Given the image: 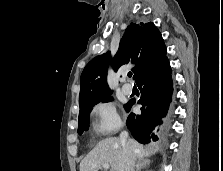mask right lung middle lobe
Segmentation results:
<instances>
[{"mask_svg":"<svg viewBox=\"0 0 223 171\" xmlns=\"http://www.w3.org/2000/svg\"><path fill=\"white\" fill-rule=\"evenodd\" d=\"M112 98L107 96L103 99H100L94 103H91V104H88V105H85L83 107L80 108V111H79V125H78V134L81 135L84 131H87L89 129V115H90V112L92 110V108L98 104L99 102H108V101H111ZM128 106V103L124 105L125 109L127 108Z\"/></svg>","mask_w":223,"mask_h":171,"instance_id":"right-lung-middle-lobe-1","label":"right lung middle lobe"}]
</instances>
